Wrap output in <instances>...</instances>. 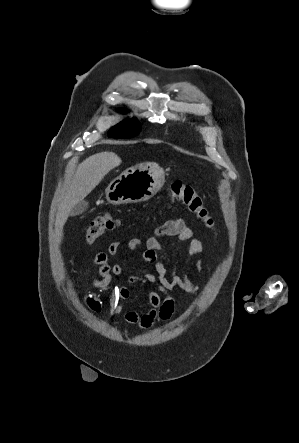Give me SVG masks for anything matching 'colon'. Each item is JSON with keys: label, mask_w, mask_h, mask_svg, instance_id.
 Wrapping results in <instances>:
<instances>
[{"label": "colon", "mask_w": 299, "mask_h": 443, "mask_svg": "<svg viewBox=\"0 0 299 443\" xmlns=\"http://www.w3.org/2000/svg\"><path fill=\"white\" fill-rule=\"evenodd\" d=\"M170 197L182 202L194 213L200 221L212 231L216 230L215 220L206 208L197 189L186 182L176 180L170 186ZM117 226V221L109 213L95 217L85 230V240L88 244L94 243L106 231Z\"/></svg>", "instance_id": "1"}]
</instances>
